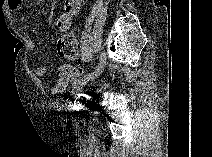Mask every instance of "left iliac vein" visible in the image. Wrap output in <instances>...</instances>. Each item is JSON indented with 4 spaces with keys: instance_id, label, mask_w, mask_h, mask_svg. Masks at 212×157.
<instances>
[{
    "instance_id": "obj_1",
    "label": "left iliac vein",
    "mask_w": 212,
    "mask_h": 157,
    "mask_svg": "<svg viewBox=\"0 0 212 157\" xmlns=\"http://www.w3.org/2000/svg\"><path fill=\"white\" fill-rule=\"evenodd\" d=\"M102 71H103V70H102ZM101 73H102V72H101ZM101 73H100V74H101ZM100 74H99V75H100ZM88 82H89V81H85V82L78 83V84L74 85V87H73L71 93H72V94H77L78 92H80V91L83 89V87H84Z\"/></svg>"
}]
</instances>
